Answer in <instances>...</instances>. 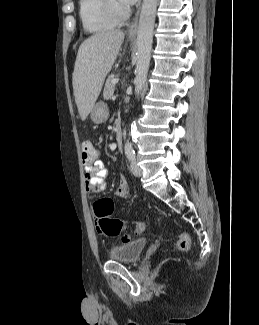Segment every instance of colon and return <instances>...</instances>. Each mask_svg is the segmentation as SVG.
Returning a JSON list of instances; mask_svg holds the SVG:
<instances>
[{"instance_id":"1","label":"colon","mask_w":259,"mask_h":325,"mask_svg":"<svg viewBox=\"0 0 259 325\" xmlns=\"http://www.w3.org/2000/svg\"><path fill=\"white\" fill-rule=\"evenodd\" d=\"M98 156V150L89 140H85L81 143V158L83 162H92ZM114 202L109 198H103L96 201L93 205L94 216L97 220L99 230L107 236L119 235L125 230L128 225L113 217ZM131 228L135 234H141L144 232L146 225L144 222H134ZM131 240V236L124 234L122 236V242L127 243ZM190 248V237L187 233L183 232L178 235L176 241V249L180 252H185Z\"/></svg>"}]
</instances>
